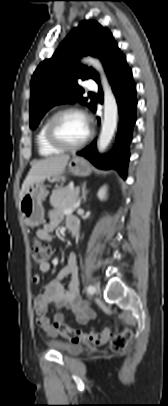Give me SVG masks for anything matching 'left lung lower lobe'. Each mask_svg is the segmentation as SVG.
Wrapping results in <instances>:
<instances>
[{"label": "left lung lower lobe", "instance_id": "1", "mask_svg": "<svg viewBox=\"0 0 168 406\" xmlns=\"http://www.w3.org/2000/svg\"><path fill=\"white\" fill-rule=\"evenodd\" d=\"M106 73L116 96L119 109V130L116 143L112 151L104 157H101L96 151V140L85 149L77 152V154L87 158L99 168L116 169L122 177L126 178L129 161V144L132 139V128L136 121V85L132 78V71L128 67L125 56L121 51L108 65ZM99 93L102 96L101 89ZM92 111H96V105ZM98 122H100L99 118Z\"/></svg>", "mask_w": 168, "mask_h": 406}]
</instances>
